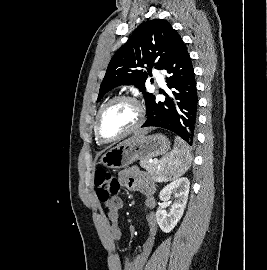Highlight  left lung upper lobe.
<instances>
[{
    "label": "left lung upper lobe",
    "instance_id": "left-lung-upper-lobe-1",
    "mask_svg": "<svg viewBox=\"0 0 267 270\" xmlns=\"http://www.w3.org/2000/svg\"><path fill=\"white\" fill-rule=\"evenodd\" d=\"M180 40L177 31L166 20L154 19L140 24L111 59L97 101L118 85H134L143 91L148 111L155 96L145 92L148 74L142 68L147 65L151 70L154 65L164 70Z\"/></svg>",
    "mask_w": 267,
    "mask_h": 270
}]
</instances>
